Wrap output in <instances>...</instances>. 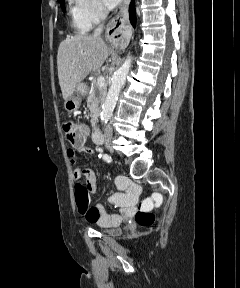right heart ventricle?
Instances as JSON below:
<instances>
[{"label": "right heart ventricle", "instance_id": "right-heart-ventricle-1", "mask_svg": "<svg viewBox=\"0 0 240 288\" xmlns=\"http://www.w3.org/2000/svg\"><path fill=\"white\" fill-rule=\"evenodd\" d=\"M71 14H72V19H73V25L79 30V31H87L89 29V27L83 23L76 12V7L71 9Z\"/></svg>", "mask_w": 240, "mask_h": 288}]
</instances>
